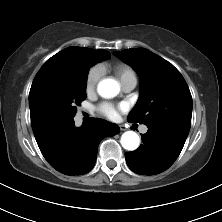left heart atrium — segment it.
<instances>
[{"instance_id": "left-heart-atrium-1", "label": "left heart atrium", "mask_w": 222, "mask_h": 222, "mask_svg": "<svg viewBox=\"0 0 222 222\" xmlns=\"http://www.w3.org/2000/svg\"><path fill=\"white\" fill-rule=\"evenodd\" d=\"M127 109L126 104L124 103H120L118 105H114L112 103H102L98 110L101 114H103L104 116L110 118V119H115L118 116V112L119 111H125Z\"/></svg>"}]
</instances>
